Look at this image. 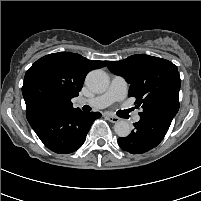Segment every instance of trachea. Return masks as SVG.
I'll use <instances>...</instances> for the list:
<instances>
[{
  "label": "trachea",
  "mask_w": 201,
  "mask_h": 201,
  "mask_svg": "<svg viewBox=\"0 0 201 201\" xmlns=\"http://www.w3.org/2000/svg\"><path fill=\"white\" fill-rule=\"evenodd\" d=\"M84 110H86V111H90L91 108H90L89 106H84Z\"/></svg>",
  "instance_id": "trachea-1"
}]
</instances>
